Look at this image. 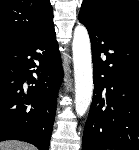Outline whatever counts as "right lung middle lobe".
I'll use <instances>...</instances> for the list:
<instances>
[{"label":"right lung middle lobe","instance_id":"dd1d6c3e","mask_svg":"<svg viewBox=\"0 0 139 150\" xmlns=\"http://www.w3.org/2000/svg\"><path fill=\"white\" fill-rule=\"evenodd\" d=\"M7 47H9V46H6V45H0V50H3V49H5V48H7Z\"/></svg>","mask_w":139,"mask_h":150}]
</instances>
